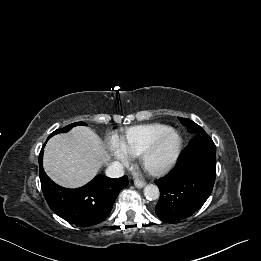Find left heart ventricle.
Returning a JSON list of instances; mask_svg holds the SVG:
<instances>
[{"label":"left heart ventricle","mask_w":261,"mask_h":261,"mask_svg":"<svg viewBox=\"0 0 261 261\" xmlns=\"http://www.w3.org/2000/svg\"><path fill=\"white\" fill-rule=\"evenodd\" d=\"M175 143V138L170 136L166 138L163 143L160 145L158 150L154 153V155L149 160V164L151 166H158L165 161L170 152L173 149Z\"/></svg>","instance_id":"b2bd125f"}]
</instances>
